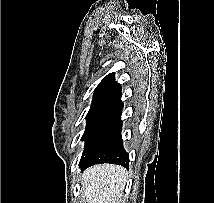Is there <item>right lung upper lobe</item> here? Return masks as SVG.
<instances>
[{"label":"right lung upper lobe","mask_w":214,"mask_h":203,"mask_svg":"<svg viewBox=\"0 0 214 203\" xmlns=\"http://www.w3.org/2000/svg\"><path fill=\"white\" fill-rule=\"evenodd\" d=\"M114 73L108 74L99 83L94 91L93 98H110V99H120L121 98V86L119 83L114 81Z\"/></svg>","instance_id":"obj_1"}]
</instances>
